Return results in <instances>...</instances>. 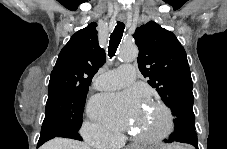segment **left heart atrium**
<instances>
[{
	"instance_id": "obj_1",
	"label": "left heart atrium",
	"mask_w": 227,
	"mask_h": 149,
	"mask_svg": "<svg viewBox=\"0 0 227 149\" xmlns=\"http://www.w3.org/2000/svg\"><path fill=\"white\" fill-rule=\"evenodd\" d=\"M137 99L138 95L134 92L118 95L101 94L91 101L90 112L113 129H129L130 119L136 111Z\"/></svg>"
}]
</instances>
